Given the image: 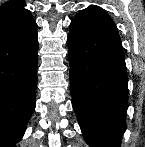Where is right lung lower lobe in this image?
I'll return each mask as SVG.
<instances>
[{
	"label": "right lung lower lobe",
	"instance_id": "obj_1",
	"mask_svg": "<svg viewBox=\"0 0 145 147\" xmlns=\"http://www.w3.org/2000/svg\"><path fill=\"white\" fill-rule=\"evenodd\" d=\"M36 23L0 39V147L21 141L35 109Z\"/></svg>",
	"mask_w": 145,
	"mask_h": 147
}]
</instances>
